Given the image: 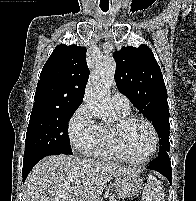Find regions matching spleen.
Instances as JSON below:
<instances>
[{
	"mask_svg": "<svg viewBox=\"0 0 196 201\" xmlns=\"http://www.w3.org/2000/svg\"><path fill=\"white\" fill-rule=\"evenodd\" d=\"M144 201H164L161 183L154 176H149L145 190L142 193Z\"/></svg>",
	"mask_w": 196,
	"mask_h": 201,
	"instance_id": "1",
	"label": "spleen"
}]
</instances>
